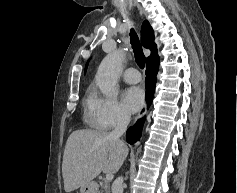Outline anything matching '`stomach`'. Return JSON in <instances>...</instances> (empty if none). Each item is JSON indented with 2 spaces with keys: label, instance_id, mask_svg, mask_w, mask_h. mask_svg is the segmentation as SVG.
Returning a JSON list of instances; mask_svg holds the SVG:
<instances>
[{
  "label": "stomach",
  "instance_id": "stomach-1",
  "mask_svg": "<svg viewBox=\"0 0 237 193\" xmlns=\"http://www.w3.org/2000/svg\"><path fill=\"white\" fill-rule=\"evenodd\" d=\"M80 193H97V185L90 182L80 188Z\"/></svg>",
  "mask_w": 237,
  "mask_h": 193
}]
</instances>
